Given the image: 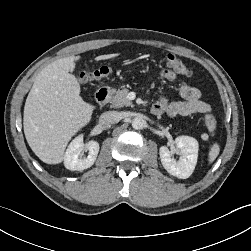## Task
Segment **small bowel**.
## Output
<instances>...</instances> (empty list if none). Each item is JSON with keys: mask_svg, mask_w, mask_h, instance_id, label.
Returning a JSON list of instances; mask_svg holds the SVG:
<instances>
[{"mask_svg": "<svg viewBox=\"0 0 251 251\" xmlns=\"http://www.w3.org/2000/svg\"><path fill=\"white\" fill-rule=\"evenodd\" d=\"M162 77L172 82L177 79L176 74L172 71L162 72ZM178 89L184 101L169 102L166 97L162 96L154 104L157 114L167 113L170 117H176L199 115L210 111V105L201 100V92L197 87L181 83Z\"/></svg>", "mask_w": 251, "mask_h": 251, "instance_id": "1", "label": "small bowel"}]
</instances>
